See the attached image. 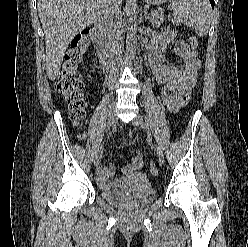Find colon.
Returning a JSON list of instances; mask_svg holds the SVG:
<instances>
[{
  "instance_id": "colon-1",
  "label": "colon",
  "mask_w": 248,
  "mask_h": 247,
  "mask_svg": "<svg viewBox=\"0 0 248 247\" xmlns=\"http://www.w3.org/2000/svg\"><path fill=\"white\" fill-rule=\"evenodd\" d=\"M91 39L89 32L77 35L71 42L63 63L61 73L57 79L55 89L65 100L70 117L75 125H80L86 115L84 100V82L79 72V64L82 60L84 51ZM189 45L196 49L198 40L190 37ZM173 89L169 85H164L159 94V102L163 108H169L171 104ZM152 175H157L158 170L154 163L150 164Z\"/></svg>"
}]
</instances>
